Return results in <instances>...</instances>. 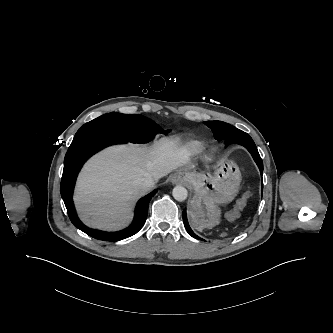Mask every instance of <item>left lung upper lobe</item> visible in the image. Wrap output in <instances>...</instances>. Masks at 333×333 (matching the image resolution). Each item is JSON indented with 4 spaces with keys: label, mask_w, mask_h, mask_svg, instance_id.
Wrapping results in <instances>:
<instances>
[{
    "label": "left lung upper lobe",
    "mask_w": 333,
    "mask_h": 333,
    "mask_svg": "<svg viewBox=\"0 0 333 333\" xmlns=\"http://www.w3.org/2000/svg\"><path fill=\"white\" fill-rule=\"evenodd\" d=\"M205 124L212 129L217 140L224 139L233 143H239L243 141L241 138H236L239 137L241 130L228 123L222 121H207Z\"/></svg>",
    "instance_id": "1"
}]
</instances>
